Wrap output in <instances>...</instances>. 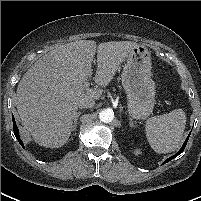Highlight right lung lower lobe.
Returning <instances> with one entry per match:
<instances>
[{
	"label": "right lung lower lobe",
	"instance_id": "right-lung-lower-lobe-1",
	"mask_svg": "<svg viewBox=\"0 0 201 201\" xmlns=\"http://www.w3.org/2000/svg\"><path fill=\"white\" fill-rule=\"evenodd\" d=\"M12 120H13L14 135H15L16 139L18 140V142L20 143V145L24 148L22 140L20 139V136H19V130H18L17 126H16V122H15V119H14L13 116H12Z\"/></svg>",
	"mask_w": 201,
	"mask_h": 201
}]
</instances>
